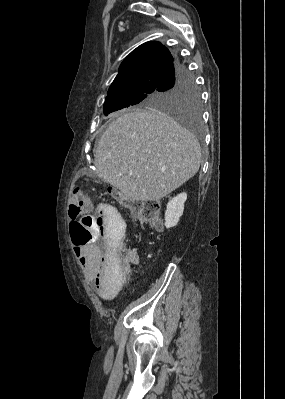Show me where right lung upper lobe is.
<instances>
[{"instance_id":"cb5924a9","label":"right lung upper lobe","mask_w":285,"mask_h":399,"mask_svg":"<svg viewBox=\"0 0 285 399\" xmlns=\"http://www.w3.org/2000/svg\"><path fill=\"white\" fill-rule=\"evenodd\" d=\"M173 62V56L161 43L150 41L140 45L121 63L108 95L158 88Z\"/></svg>"}]
</instances>
